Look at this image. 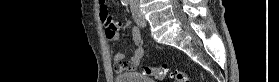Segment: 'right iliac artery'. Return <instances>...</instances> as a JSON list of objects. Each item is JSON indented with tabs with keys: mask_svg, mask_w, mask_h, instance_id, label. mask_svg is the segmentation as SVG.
<instances>
[{
	"mask_svg": "<svg viewBox=\"0 0 279 82\" xmlns=\"http://www.w3.org/2000/svg\"><path fill=\"white\" fill-rule=\"evenodd\" d=\"M121 3L123 6H127L128 4H130V0H121Z\"/></svg>",
	"mask_w": 279,
	"mask_h": 82,
	"instance_id": "1",
	"label": "right iliac artery"
}]
</instances>
